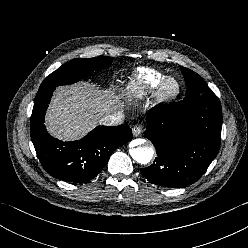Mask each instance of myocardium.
<instances>
[{
  "instance_id": "f54148a6",
  "label": "myocardium",
  "mask_w": 248,
  "mask_h": 248,
  "mask_svg": "<svg viewBox=\"0 0 248 248\" xmlns=\"http://www.w3.org/2000/svg\"><path fill=\"white\" fill-rule=\"evenodd\" d=\"M173 82L175 88L173 91H167V85ZM181 92V84L179 80L173 76H166L156 88V97L157 100L161 103H170L178 98Z\"/></svg>"
}]
</instances>
